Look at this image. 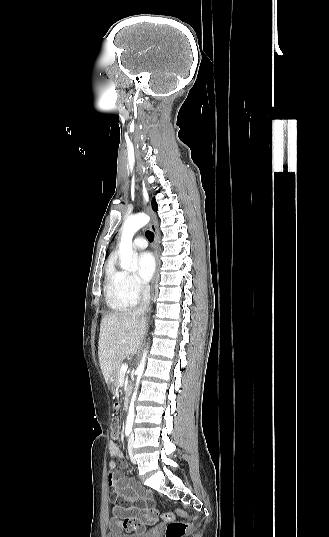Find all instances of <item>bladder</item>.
<instances>
[{"instance_id": "31cf9c89", "label": "bladder", "mask_w": 329, "mask_h": 537, "mask_svg": "<svg viewBox=\"0 0 329 537\" xmlns=\"http://www.w3.org/2000/svg\"><path fill=\"white\" fill-rule=\"evenodd\" d=\"M106 537H153V532H145L141 534H126L120 531H110Z\"/></svg>"}]
</instances>
